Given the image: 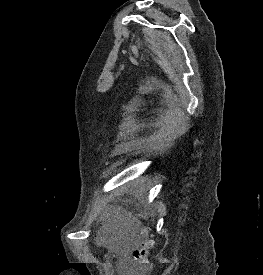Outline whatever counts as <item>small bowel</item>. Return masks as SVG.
Listing matches in <instances>:
<instances>
[{
    "mask_svg": "<svg viewBox=\"0 0 263 275\" xmlns=\"http://www.w3.org/2000/svg\"><path fill=\"white\" fill-rule=\"evenodd\" d=\"M122 265H123V269H125V267H126V262L124 261V262H122ZM123 273H124V270H123Z\"/></svg>",
    "mask_w": 263,
    "mask_h": 275,
    "instance_id": "c3829d8e",
    "label": "small bowel"
}]
</instances>
